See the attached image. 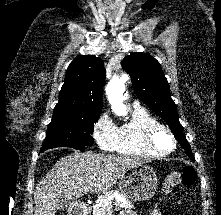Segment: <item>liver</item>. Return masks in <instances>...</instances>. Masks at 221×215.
<instances>
[{
	"label": "liver",
	"mask_w": 221,
	"mask_h": 215,
	"mask_svg": "<svg viewBox=\"0 0 221 215\" xmlns=\"http://www.w3.org/2000/svg\"><path fill=\"white\" fill-rule=\"evenodd\" d=\"M142 163L138 158L74 151L58 160L38 183L34 215H55L61 199L107 192L127 170Z\"/></svg>",
	"instance_id": "obj_1"
}]
</instances>
